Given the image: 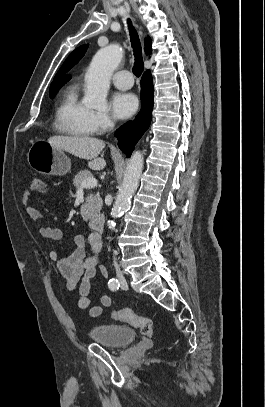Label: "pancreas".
<instances>
[{
  "mask_svg": "<svg viewBox=\"0 0 265 407\" xmlns=\"http://www.w3.org/2000/svg\"><path fill=\"white\" fill-rule=\"evenodd\" d=\"M93 178L90 171H80L74 178L73 184L77 189L81 188V184L84 180ZM102 207V199L99 193L90 194L86 198V203L81 208V214L85 219L91 218L94 214L98 213Z\"/></svg>",
  "mask_w": 265,
  "mask_h": 407,
  "instance_id": "1",
  "label": "pancreas"
}]
</instances>
